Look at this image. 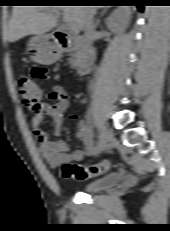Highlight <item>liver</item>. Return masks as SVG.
Listing matches in <instances>:
<instances>
[{"instance_id": "1", "label": "liver", "mask_w": 170, "mask_h": 231, "mask_svg": "<svg viewBox=\"0 0 170 231\" xmlns=\"http://www.w3.org/2000/svg\"><path fill=\"white\" fill-rule=\"evenodd\" d=\"M86 6H14L12 17L4 32L7 41L15 42L22 37L35 34L43 35L52 30L57 19L55 13L62 11L64 21L76 24L78 30L84 28V12ZM107 7V6H93ZM96 10L95 8H93Z\"/></svg>"}]
</instances>
